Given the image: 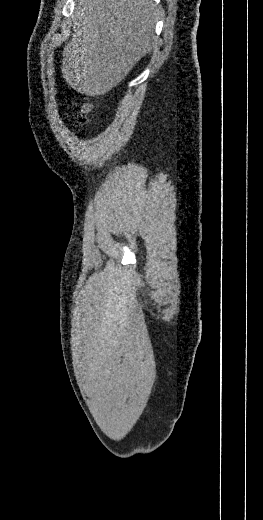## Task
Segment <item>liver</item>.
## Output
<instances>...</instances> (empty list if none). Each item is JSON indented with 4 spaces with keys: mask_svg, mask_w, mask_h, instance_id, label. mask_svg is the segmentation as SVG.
<instances>
[{
    "mask_svg": "<svg viewBox=\"0 0 263 520\" xmlns=\"http://www.w3.org/2000/svg\"><path fill=\"white\" fill-rule=\"evenodd\" d=\"M154 0H78L62 75L87 96L105 95L156 45Z\"/></svg>",
    "mask_w": 263,
    "mask_h": 520,
    "instance_id": "obj_1",
    "label": "liver"
}]
</instances>
